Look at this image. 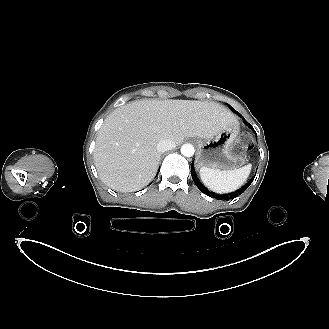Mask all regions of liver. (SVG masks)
<instances>
[{
  "instance_id": "6515ba94",
  "label": "liver",
  "mask_w": 329,
  "mask_h": 329,
  "mask_svg": "<svg viewBox=\"0 0 329 329\" xmlns=\"http://www.w3.org/2000/svg\"><path fill=\"white\" fill-rule=\"evenodd\" d=\"M238 122L213 101L138 100L115 109L99 129L94 160L100 179L121 192L137 191L156 175L157 143L185 137L209 139Z\"/></svg>"
}]
</instances>
